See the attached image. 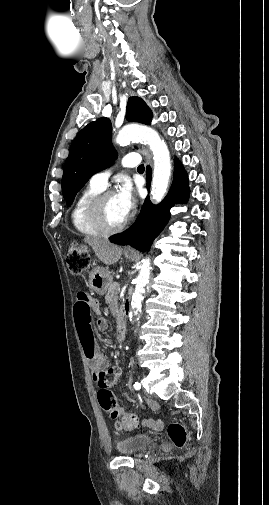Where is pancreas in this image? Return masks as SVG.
<instances>
[{
    "label": "pancreas",
    "instance_id": "1",
    "mask_svg": "<svg viewBox=\"0 0 269 505\" xmlns=\"http://www.w3.org/2000/svg\"><path fill=\"white\" fill-rule=\"evenodd\" d=\"M118 290H119L118 283H112L111 286L108 288L107 296H109L110 304H117Z\"/></svg>",
    "mask_w": 269,
    "mask_h": 505
}]
</instances>
